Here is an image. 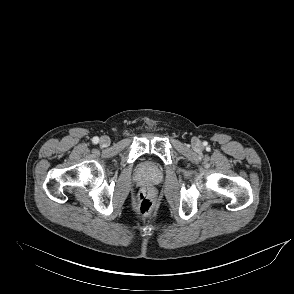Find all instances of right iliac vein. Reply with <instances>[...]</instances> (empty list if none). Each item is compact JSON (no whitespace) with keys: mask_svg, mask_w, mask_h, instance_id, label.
Here are the masks:
<instances>
[{"mask_svg":"<svg viewBox=\"0 0 294 294\" xmlns=\"http://www.w3.org/2000/svg\"><path fill=\"white\" fill-rule=\"evenodd\" d=\"M110 138L108 136H103L100 138L99 143L101 144V146L103 147H108L110 145Z\"/></svg>","mask_w":294,"mask_h":294,"instance_id":"1","label":"right iliac vein"}]
</instances>
